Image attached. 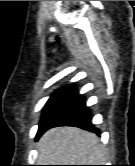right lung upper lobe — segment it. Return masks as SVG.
I'll return each instance as SVG.
<instances>
[{
    "instance_id": "obj_1",
    "label": "right lung upper lobe",
    "mask_w": 135,
    "mask_h": 166,
    "mask_svg": "<svg viewBox=\"0 0 135 166\" xmlns=\"http://www.w3.org/2000/svg\"><path fill=\"white\" fill-rule=\"evenodd\" d=\"M64 89H68V88H61V89H58L56 92L60 91V90H64Z\"/></svg>"
}]
</instances>
